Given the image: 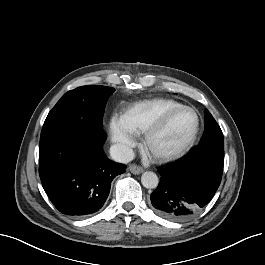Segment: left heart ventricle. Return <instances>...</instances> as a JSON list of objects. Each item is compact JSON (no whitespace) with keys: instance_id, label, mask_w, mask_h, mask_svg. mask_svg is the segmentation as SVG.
<instances>
[{"instance_id":"left-heart-ventricle-1","label":"left heart ventricle","mask_w":265,"mask_h":265,"mask_svg":"<svg viewBox=\"0 0 265 265\" xmlns=\"http://www.w3.org/2000/svg\"><path fill=\"white\" fill-rule=\"evenodd\" d=\"M195 127V116L191 111H181L172 116L156 136L154 145L161 150L176 148L186 142Z\"/></svg>"}]
</instances>
